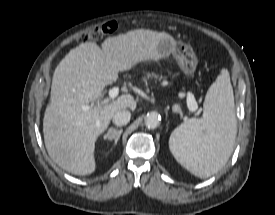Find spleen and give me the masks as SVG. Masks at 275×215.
Returning a JSON list of instances; mask_svg holds the SVG:
<instances>
[{"label":"spleen","instance_id":"obj_1","mask_svg":"<svg viewBox=\"0 0 275 215\" xmlns=\"http://www.w3.org/2000/svg\"><path fill=\"white\" fill-rule=\"evenodd\" d=\"M202 118L183 122L171 134L169 147L193 175L208 178L228 161L236 139L234 95L227 69L207 91Z\"/></svg>","mask_w":275,"mask_h":215}]
</instances>
